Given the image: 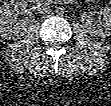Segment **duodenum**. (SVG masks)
<instances>
[{
	"instance_id": "duodenum-1",
	"label": "duodenum",
	"mask_w": 111,
	"mask_h": 106,
	"mask_svg": "<svg viewBox=\"0 0 111 106\" xmlns=\"http://www.w3.org/2000/svg\"><path fill=\"white\" fill-rule=\"evenodd\" d=\"M58 2L67 3V2H69V0H59Z\"/></svg>"
}]
</instances>
